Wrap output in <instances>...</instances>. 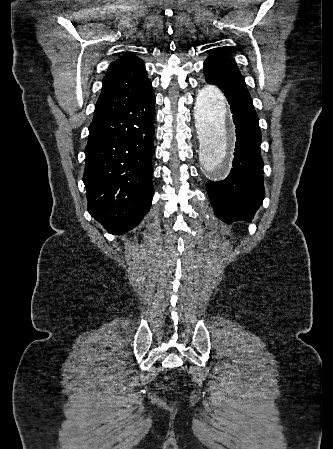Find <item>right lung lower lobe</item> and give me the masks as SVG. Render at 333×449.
Listing matches in <instances>:
<instances>
[{
    "label": "right lung lower lobe",
    "instance_id": "1",
    "mask_svg": "<svg viewBox=\"0 0 333 449\" xmlns=\"http://www.w3.org/2000/svg\"><path fill=\"white\" fill-rule=\"evenodd\" d=\"M154 106L150 87L89 126L83 175L88 212L109 233L136 227L150 209Z\"/></svg>",
    "mask_w": 333,
    "mask_h": 449
}]
</instances>
